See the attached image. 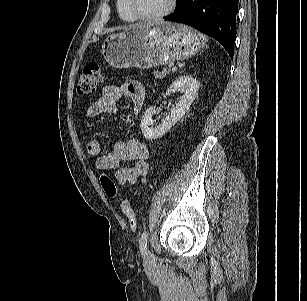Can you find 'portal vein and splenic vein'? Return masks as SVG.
I'll return each instance as SVG.
<instances>
[{
	"instance_id": "18ae733b",
	"label": "portal vein and splenic vein",
	"mask_w": 307,
	"mask_h": 301,
	"mask_svg": "<svg viewBox=\"0 0 307 301\" xmlns=\"http://www.w3.org/2000/svg\"><path fill=\"white\" fill-rule=\"evenodd\" d=\"M169 67L174 69V64H169Z\"/></svg>"
}]
</instances>
